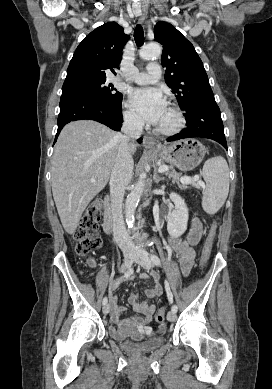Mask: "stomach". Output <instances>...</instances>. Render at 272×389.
Segmentation results:
<instances>
[{
  "label": "stomach",
  "instance_id": "obj_1",
  "mask_svg": "<svg viewBox=\"0 0 272 389\" xmlns=\"http://www.w3.org/2000/svg\"><path fill=\"white\" fill-rule=\"evenodd\" d=\"M159 157L182 171H190L203 160L206 149L196 139L188 138L176 141L157 150Z\"/></svg>",
  "mask_w": 272,
  "mask_h": 389
}]
</instances>
